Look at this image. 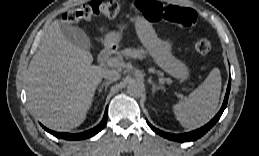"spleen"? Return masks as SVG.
<instances>
[{
  "label": "spleen",
  "instance_id": "spleen-1",
  "mask_svg": "<svg viewBox=\"0 0 259 156\" xmlns=\"http://www.w3.org/2000/svg\"><path fill=\"white\" fill-rule=\"evenodd\" d=\"M221 85L220 70L214 68L187 99L173 106V112L183 127L195 129L213 118L219 103Z\"/></svg>",
  "mask_w": 259,
  "mask_h": 156
}]
</instances>
